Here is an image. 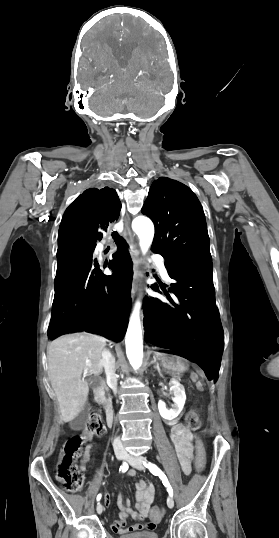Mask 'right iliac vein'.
Returning a JSON list of instances; mask_svg holds the SVG:
<instances>
[{
  "instance_id": "obj_1",
  "label": "right iliac vein",
  "mask_w": 279,
  "mask_h": 538,
  "mask_svg": "<svg viewBox=\"0 0 279 538\" xmlns=\"http://www.w3.org/2000/svg\"><path fill=\"white\" fill-rule=\"evenodd\" d=\"M116 457H117L118 460H123V459L125 458V453H123V452H118V453H116ZM96 510H97V513H98V514H101V513H102V511H103V506H102L101 503H98V504H97Z\"/></svg>"
}]
</instances>
